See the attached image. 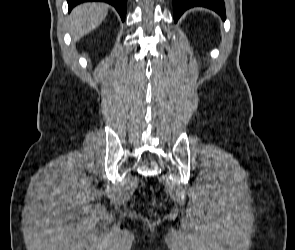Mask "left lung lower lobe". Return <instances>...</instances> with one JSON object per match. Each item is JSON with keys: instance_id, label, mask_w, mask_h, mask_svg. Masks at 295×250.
<instances>
[{"instance_id": "left-lung-lower-lobe-1", "label": "left lung lower lobe", "mask_w": 295, "mask_h": 250, "mask_svg": "<svg viewBox=\"0 0 295 250\" xmlns=\"http://www.w3.org/2000/svg\"><path fill=\"white\" fill-rule=\"evenodd\" d=\"M195 6H202L217 12L222 19L226 18L224 0H173V17L177 22L183 12Z\"/></svg>"}]
</instances>
